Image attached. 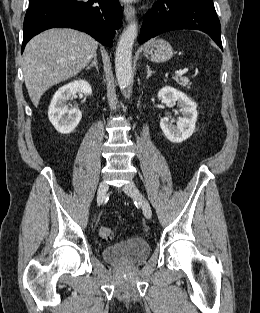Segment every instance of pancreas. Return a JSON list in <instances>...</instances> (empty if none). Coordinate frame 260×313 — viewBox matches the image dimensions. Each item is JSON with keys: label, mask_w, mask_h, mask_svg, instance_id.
Returning a JSON list of instances; mask_svg holds the SVG:
<instances>
[{"label": "pancreas", "mask_w": 260, "mask_h": 313, "mask_svg": "<svg viewBox=\"0 0 260 313\" xmlns=\"http://www.w3.org/2000/svg\"><path fill=\"white\" fill-rule=\"evenodd\" d=\"M177 83L183 87H188L190 88V80L187 77H180L177 79Z\"/></svg>", "instance_id": "obj_1"}]
</instances>
